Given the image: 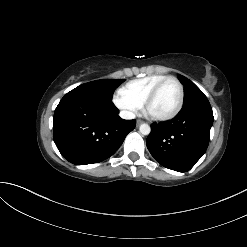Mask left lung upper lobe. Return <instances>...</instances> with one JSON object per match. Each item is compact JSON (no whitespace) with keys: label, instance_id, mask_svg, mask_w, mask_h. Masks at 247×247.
<instances>
[{"label":"left lung upper lobe","instance_id":"5c2ea615","mask_svg":"<svg viewBox=\"0 0 247 247\" xmlns=\"http://www.w3.org/2000/svg\"><path fill=\"white\" fill-rule=\"evenodd\" d=\"M181 83L184 85V101L183 105H186L197 99H204L206 96L204 93L189 79L184 76H178Z\"/></svg>","mask_w":247,"mask_h":247}]
</instances>
